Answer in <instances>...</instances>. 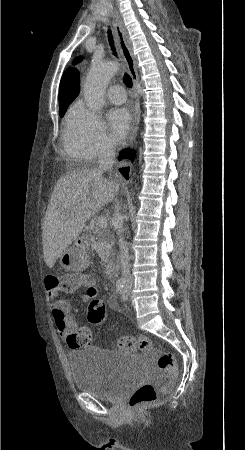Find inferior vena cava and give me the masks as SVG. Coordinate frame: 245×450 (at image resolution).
Wrapping results in <instances>:
<instances>
[{
    "label": "inferior vena cava",
    "instance_id": "602c4592",
    "mask_svg": "<svg viewBox=\"0 0 245 450\" xmlns=\"http://www.w3.org/2000/svg\"><path fill=\"white\" fill-rule=\"evenodd\" d=\"M99 169L101 171L110 170L115 163V147L111 142H104L99 155ZM120 206L117 204L115 206V212L113 214V225L116 230H118L117 234L119 235V249H120V263H121V272L123 277V283L125 285L132 284V276L130 273V257L127 242L121 236L122 227L124 219L120 212Z\"/></svg>",
    "mask_w": 245,
    "mask_h": 450
}]
</instances>
